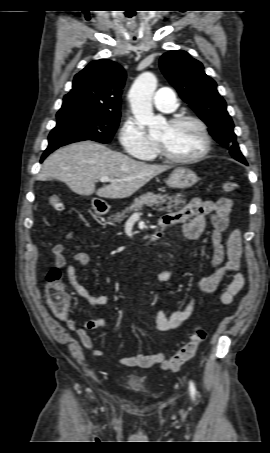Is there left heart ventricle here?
Returning a JSON list of instances; mask_svg holds the SVG:
<instances>
[{"label": "left heart ventricle", "mask_w": 270, "mask_h": 453, "mask_svg": "<svg viewBox=\"0 0 270 453\" xmlns=\"http://www.w3.org/2000/svg\"><path fill=\"white\" fill-rule=\"evenodd\" d=\"M156 141L161 142L167 151L176 157L196 155L204 146L202 133L193 122H184L175 126L166 123Z\"/></svg>", "instance_id": "b2bd125f"}]
</instances>
